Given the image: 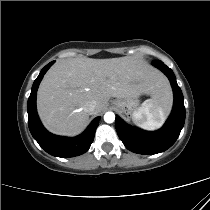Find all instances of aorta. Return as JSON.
<instances>
[{"instance_id":"1","label":"aorta","mask_w":210,"mask_h":210,"mask_svg":"<svg viewBox=\"0 0 210 210\" xmlns=\"http://www.w3.org/2000/svg\"><path fill=\"white\" fill-rule=\"evenodd\" d=\"M104 121L106 123H113L115 121V114L113 112H106L104 115Z\"/></svg>"}]
</instances>
